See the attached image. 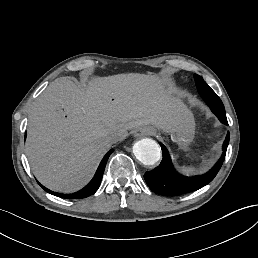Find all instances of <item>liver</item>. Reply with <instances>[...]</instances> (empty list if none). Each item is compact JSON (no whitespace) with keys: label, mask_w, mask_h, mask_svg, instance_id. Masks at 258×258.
I'll use <instances>...</instances> for the list:
<instances>
[{"label":"liver","mask_w":258,"mask_h":258,"mask_svg":"<svg viewBox=\"0 0 258 258\" xmlns=\"http://www.w3.org/2000/svg\"><path fill=\"white\" fill-rule=\"evenodd\" d=\"M168 77L139 73L91 79L78 86L56 79L34 104L27 126L26 154L35 177L64 193L81 189L111 147L128 130L152 125L174 133L183 102Z\"/></svg>","instance_id":"obj_1"}]
</instances>
